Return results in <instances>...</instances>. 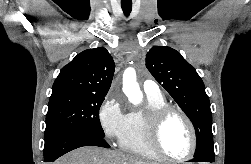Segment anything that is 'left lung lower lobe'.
Returning <instances> with one entry per match:
<instances>
[{"instance_id":"0a47b994","label":"left lung lower lobe","mask_w":251,"mask_h":164,"mask_svg":"<svg viewBox=\"0 0 251 164\" xmlns=\"http://www.w3.org/2000/svg\"><path fill=\"white\" fill-rule=\"evenodd\" d=\"M190 162H214V158L194 157Z\"/></svg>"}]
</instances>
